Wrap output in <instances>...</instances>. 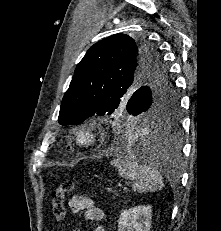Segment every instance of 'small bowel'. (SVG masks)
I'll return each mask as SVG.
<instances>
[{"mask_svg": "<svg viewBox=\"0 0 221 231\" xmlns=\"http://www.w3.org/2000/svg\"><path fill=\"white\" fill-rule=\"evenodd\" d=\"M69 206L72 212L80 213L83 212L86 220L103 222L105 219L104 212L96 206L93 199L86 196H73L70 199ZM93 231H105L103 225L99 224L94 228Z\"/></svg>", "mask_w": 221, "mask_h": 231, "instance_id": "obj_1", "label": "small bowel"}]
</instances>
